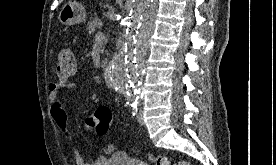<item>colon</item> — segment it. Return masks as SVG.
Segmentation results:
<instances>
[{
  "label": "colon",
  "mask_w": 276,
  "mask_h": 165,
  "mask_svg": "<svg viewBox=\"0 0 276 165\" xmlns=\"http://www.w3.org/2000/svg\"><path fill=\"white\" fill-rule=\"evenodd\" d=\"M77 71L73 52L70 49L61 50L56 59V74L59 78L69 79ZM112 120V112L107 107H100L87 119L88 127L97 135L105 136ZM153 165H190L188 162L179 161L171 164L165 156H148Z\"/></svg>",
  "instance_id": "obj_1"
}]
</instances>
